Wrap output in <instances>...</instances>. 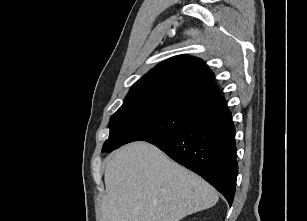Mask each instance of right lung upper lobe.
I'll return each mask as SVG.
<instances>
[{
    "mask_svg": "<svg viewBox=\"0 0 307 221\" xmlns=\"http://www.w3.org/2000/svg\"><path fill=\"white\" fill-rule=\"evenodd\" d=\"M135 100L183 101L208 109L225 102L214 84L213 72L202 60L188 55L172 57L138 80L124 102Z\"/></svg>",
    "mask_w": 307,
    "mask_h": 221,
    "instance_id": "cb5924a9",
    "label": "right lung upper lobe"
}]
</instances>
